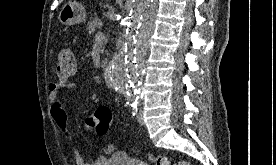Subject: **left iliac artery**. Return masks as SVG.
I'll return each mask as SVG.
<instances>
[{"label": "left iliac artery", "mask_w": 276, "mask_h": 165, "mask_svg": "<svg viewBox=\"0 0 276 165\" xmlns=\"http://www.w3.org/2000/svg\"><path fill=\"white\" fill-rule=\"evenodd\" d=\"M132 109H133V115H135V113L137 112V104L132 106Z\"/></svg>", "instance_id": "left-iliac-artery-1"}]
</instances>
